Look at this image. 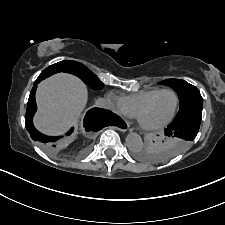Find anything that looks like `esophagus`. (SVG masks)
<instances>
[{
    "instance_id": "esophagus-1",
    "label": "esophagus",
    "mask_w": 225,
    "mask_h": 225,
    "mask_svg": "<svg viewBox=\"0 0 225 225\" xmlns=\"http://www.w3.org/2000/svg\"><path fill=\"white\" fill-rule=\"evenodd\" d=\"M116 129L120 130V131H127L129 129V123L126 120H122L118 126L116 127Z\"/></svg>"
}]
</instances>
